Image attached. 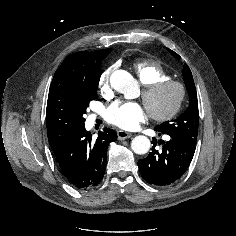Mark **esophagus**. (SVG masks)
Returning a JSON list of instances; mask_svg holds the SVG:
<instances>
[{
  "label": "esophagus",
  "mask_w": 236,
  "mask_h": 236,
  "mask_svg": "<svg viewBox=\"0 0 236 236\" xmlns=\"http://www.w3.org/2000/svg\"><path fill=\"white\" fill-rule=\"evenodd\" d=\"M117 136L119 140H124V139L130 138L132 134L123 130H118Z\"/></svg>",
  "instance_id": "obj_1"
}]
</instances>
